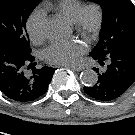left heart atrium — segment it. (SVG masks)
Listing matches in <instances>:
<instances>
[{"label": "left heart atrium", "instance_id": "39dd6f15", "mask_svg": "<svg viewBox=\"0 0 135 135\" xmlns=\"http://www.w3.org/2000/svg\"><path fill=\"white\" fill-rule=\"evenodd\" d=\"M86 51L87 46L81 40H63L48 46L44 51V57L52 64L74 65Z\"/></svg>", "mask_w": 135, "mask_h": 135}]
</instances>
